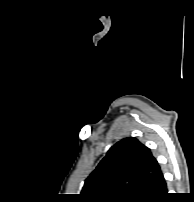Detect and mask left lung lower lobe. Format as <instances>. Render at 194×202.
I'll return each instance as SVG.
<instances>
[{
    "mask_svg": "<svg viewBox=\"0 0 194 202\" xmlns=\"http://www.w3.org/2000/svg\"><path fill=\"white\" fill-rule=\"evenodd\" d=\"M168 196L167 193V186L163 177V180L156 192V195L154 197V199L152 200V202H163L164 199H166V197Z\"/></svg>",
    "mask_w": 194,
    "mask_h": 202,
    "instance_id": "1",
    "label": "left lung lower lobe"
}]
</instances>
